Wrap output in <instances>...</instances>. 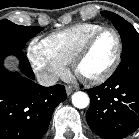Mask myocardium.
<instances>
[{"mask_svg": "<svg viewBox=\"0 0 139 139\" xmlns=\"http://www.w3.org/2000/svg\"><path fill=\"white\" fill-rule=\"evenodd\" d=\"M105 32H112L116 38L117 49H116L114 59L111 65L103 74L94 78H85L81 76L79 73V70H78L79 64L83 60V58L87 55V53L90 51L91 47L93 46L95 41L98 39V37H100ZM122 53H123V42H122V38L119 32L113 27H102L96 32H94L93 34H91L86 39V41L81 45V47L78 49V51L76 52L72 60V67H73L75 74L83 81L92 85L101 84L107 81L115 73V71L117 70L121 62Z\"/></svg>", "mask_w": 139, "mask_h": 139, "instance_id": "1", "label": "myocardium"}]
</instances>
